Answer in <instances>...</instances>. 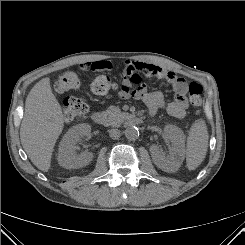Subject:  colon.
<instances>
[{
    "label": "colon",
    "instance_id": "colon-1",
    "mask_svg": "<svg viewBox=\"0 0 245 245\" xmlns=\"http://www.w3.org/2000/svg\"><path fill=\"white\" fill-rule=\"evenodd\" d=\"M138 82L140 79L135 77ZM79 85V79L76 73L68 71L59 76L55 88L60 94H69ZM115 83L108 75H98L90 83L91 91L96 95H105L115 88ZM189 100L199 113V106L202 101L203 87L198 82L192 81L188 87ZM89 106L83 98L69 96L63 103V116L66 122H72L75 119L82 118L87 114Z\"/></svg>",
    "mask_w": 245,
    "mask_h": 245
}]
</instances>
